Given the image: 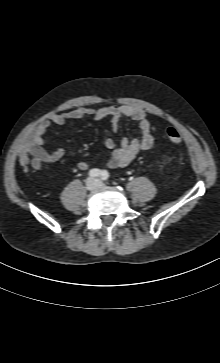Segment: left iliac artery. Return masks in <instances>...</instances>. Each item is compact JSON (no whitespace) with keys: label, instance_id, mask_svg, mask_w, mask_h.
<instances>
[{"label":"left iliac artery","instance_id":"1","mask_svg":"<svg viewBox=\"0 0 220 363\" xmlns=\"http://www.w3.org/2000/svg\"><path fill=\"white\" fill-rule=\"evenodd\" d=\"M108 178H109L108 171H106V170L101 171V179L102 180H108Z\"/></svg>","mask_w":220,"mask_h":363}]
</instances>
